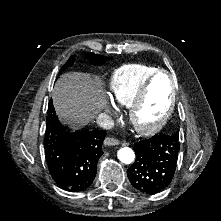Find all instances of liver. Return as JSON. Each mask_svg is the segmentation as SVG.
I'll return each instance as SVG.
<instances>
[{
	"instance_id": "1",
	"label": "liver",
	"mask_w": 221,
	"mask_h": 221,
	"mask_svg": "<svg viewBox=\"0 0 221 221\" xmlns=\"http://www.w3.org/2000/svg\"><path fill=\"white\" fill-rule=\"evenodd\" d=\"M102 81L87 73L63 74L52 91L55 111L65 123L85 126L106 106Z\"/></svg>"
}]
</instances>
